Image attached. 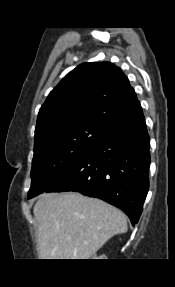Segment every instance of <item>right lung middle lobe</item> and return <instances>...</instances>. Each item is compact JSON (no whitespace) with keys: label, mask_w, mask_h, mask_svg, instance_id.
Returning <instances> with one entry per match:
<instances>
[{"label":"right lung middle lobe","mask_w":175,"mask_h":287,"mask_svg":"<svg viewBox=\"0 0 175 287\" xmlns=\"http://www.w3.org/2000/svg\"><path fill=\"white\" fill-rule=\"evenodd\" d=\"M99 122L67 124L35 138L28 198L83 157L110 129Z\"/></svg>","instance_id":"right-lung-middle-lobe-1"}]
</instances>
